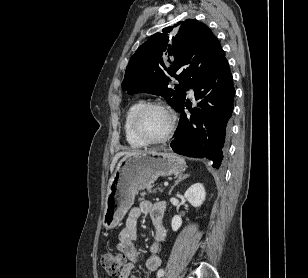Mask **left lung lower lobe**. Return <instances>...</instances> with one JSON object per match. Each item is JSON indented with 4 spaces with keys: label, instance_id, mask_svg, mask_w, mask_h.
<instances>
[{
    "label": "left lung lower lobe",
    "instance_id": "obj_1",
    "mask_svg": "<svg viewBox=\"0 0 308 278\" xmlns=\"http://www.w3.org/2000/svg\"><path fill=\"white\" fill-rule=\"evenodd\" d=\"M192 88L197 107L183 103L175 139L171 143L174 152L196 158H207L218 168L230 134V118L233 111L235 89L227 59L196 82ZM190 111L187 117L184 107Z\"/></svg>",
    "mask_w": 308,
    "mask_h": 278
}]
</instances>
